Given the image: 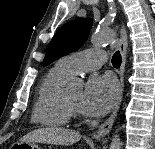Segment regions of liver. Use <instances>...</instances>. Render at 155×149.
Segmentation results:
<instances>
[{"instance_id":"liver-1","label":"liver","mask_w":155,"mask_h":149,"mask_svg":"<svg viewBox=\"0 0 155 149\" xmlns=\"http://www.w3.org/2000/svg\"><path fill=\"white\" fill-rule=\"evenodd\" d=\"M81 134L77 131L60 128L46 127L36 129L24 135L20 142H39L55 145H73L81 139Z\"/></svg>"}]
</instances>
